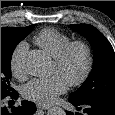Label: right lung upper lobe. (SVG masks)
<instances>
[{"mask_svg": "<svg viewBox=\"0 0 115 115\" xmlns=\"http://www.w3.org/2000/svg\"><path fill=\"white\" fill-rule=\"evenodd\" d=\"M12 28H15V27H6V28H1V33H3V31H7V30L12 29Z\"/></svg>", "mask_w": 115, "mask_h": 115, "instance_id": "obj_1", "label": "right lung upper lobe"}]
</instances>
